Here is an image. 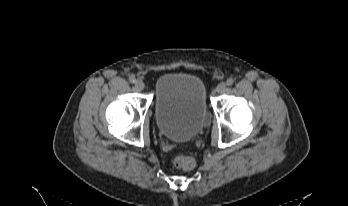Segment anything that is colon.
<instances>
[{
    "label": "colon",
    "instance_id": "colon-1",
    "mask_svg": "<svg viewBox=\"0 0 348 206\" xmlns=\"http://www.w3.org/2000/svg\"><path fill=\"white\" fill-rule=\"evenodd\" d=\"M173 164L178 169L191 170L193 169L195 162L193 158L188 155H179L174 158Z\"/></svg>",
    "mask_w": 348,
    "mask_h": 206
}]
</instances>
